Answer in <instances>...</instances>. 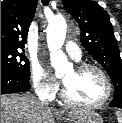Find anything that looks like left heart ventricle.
Listing matches in <instances>:
<instances>
[{
  "mask_svg": "<svg viewBox=\"0 0 122 123\" xmlns=\"http://www.w3.org/2000/svg\"><path fill=\"white\" fill-rule=\"evenodd\" d=\"M62 80L71 96L82 102L94 103L100 101L107 93L104 78L92 69L83 72L72 69L63 76Z\"/></svg>",
  "mask_w": 122,
  "mask_h": 123,
  "instance_id": "obj_1",
  "label": "left heart ventricle"
}]
</instances>
